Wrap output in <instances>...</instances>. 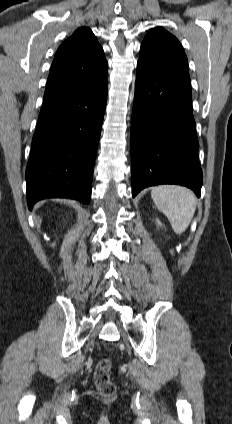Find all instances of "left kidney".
Wrapping results in <instances>:
<instances>
[{
	"label": "left kidney",
	"instance_id": "5707ae66",
	"mask_svg": "<svg viewBox=\"0 0 232 424\" xmlns=\"http://www.w3.org/2000/svg\"><path fill=\"white\" fill-rule=\"evenodd\" d=\"M157 224L159 225V226H162V223L157 219Z\"/></svg>",
	"mask_w": 232,
	"mask_h": 424
}]
</instances>
